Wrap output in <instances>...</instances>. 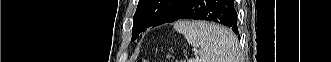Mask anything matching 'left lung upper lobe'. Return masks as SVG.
I'll use <instances>...</instances> for the list:
<instances>
[{"label":"left lung upper lobe","instance_id":"obj_1","mask_svg":"<svg viewBox=\"0 0 331 62\" xmlns=\"http://www.w3.org/2000/svg\"><path fill=\"white\" fill-rule=\"evenodd\" d=\"M184 0H139L133 17L132 38L142 24H164Z\"/></svg>","mask_w":331,"mask_h":62}]
</instances>
